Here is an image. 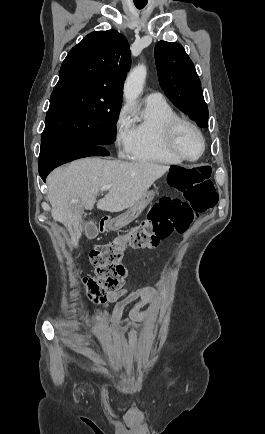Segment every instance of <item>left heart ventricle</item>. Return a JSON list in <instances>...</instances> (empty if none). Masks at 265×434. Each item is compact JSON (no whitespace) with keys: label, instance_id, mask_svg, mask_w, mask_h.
Returning <instances> with one entry per match:
<instances>
[{"label":"left heart ventricle","instance_id":"1","mask_svg":"<svg viewBox=\"0 0 265 434\" xmlns=\"http://www.w3.org/2000/svg\"><path fill=\"white\" fill-rule=\"evenodd\" d=\"M178 145L182 154L190 159L200 155L202 150L201 141L194 131L184 127L178 136Z\"/></svg>","mask_w":265,"mask_h":434}]
</instances>
